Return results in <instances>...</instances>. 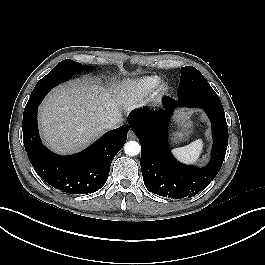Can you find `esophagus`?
Segmentation results:
<instances>
[{
  "label": "esophagus",
  "instance_id": "esophagus-1",
  "mask_svg": "<svg viewBox=\"0 0 265 265\" xmlns=\"http://www.w3.org/2000/svg\"><path fill=\"white\" fill-rule=\"evenodd\" d=\"M128 138H129V139H135V138H136V135L134 134L133 131L130 130V131L128 132Z\"/></svg>",
  "mask_w": 265,
  "mask_h": 265
}]
</instances>
